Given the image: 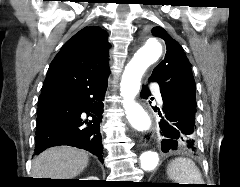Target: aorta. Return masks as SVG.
I'll return each instance as SVG.
<instances>
[{
	"instance_id": "aorta-1",
	"label": "aorta",
	"mask_w": 240,
	"mask_h": 187,
	"mask_svg": "<svg viewBox=\"0 0 240 187\" xmlns=\"http://www.w3.org/2000/svg\"><path fill=\"white\" fill-rule=\"evenodd\" d=\"M161 54V42L154 37L148 38L127 64L122 75L120 92L123 97V106L129 123L138 131L149 130L151 121L148 114L134 99L140 90V82L144 72L159 59ZM139 159L140 167L144 171L154 170L159 164V154L154 150L143 152Z\"/></svg>"
}]
</instances>
